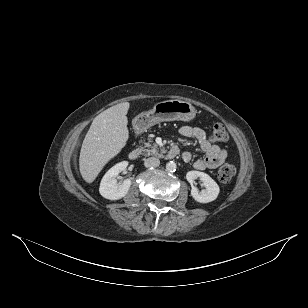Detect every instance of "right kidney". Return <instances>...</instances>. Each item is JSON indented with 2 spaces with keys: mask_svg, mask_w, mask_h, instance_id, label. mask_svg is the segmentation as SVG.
Segmentation results:
<instances>
[{
  "mask_svg": "<svg viewBox=\"0 0 308 308\" xmlns=\"http://www.w3.org/2000/svg\"><path fill=\"white\" fill-rule=\"evenodd\" d=\"M127 166V161L120 162L109 169L104 175L99 188V192L104 198L109 200H119L126 196L131 186V180L126 179L123 183L118 185L116 177L120 172L124 171Z\"/></svg>",
  "mask_w": 308,
  "mask_h": 308,
  "instance_id": "obj_1",
  "label": "right kidney"
}]
</instances>
